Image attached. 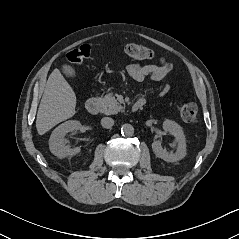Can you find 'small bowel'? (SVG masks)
I'll return each mask as SVG.
<instances>
[{
    "label": "small bowel",
    "instance_id": "small-bowel-1",
    "mask_svg": "<svg viewBox=\"0 0 239 239\" xmlns=\"http://www.w3.org/2000/svg\"><path fill=\"white\" fill-rule=\"evenodd\" d=\"M127 73L133 80L137 82H142L146 78H149L154 82H162L167 77L169 71L164 67H160L152 63L146 65L132 63L127 67ZM168 91L169 85L164 84L162 88L157 92V96L164 97L168 93ZM138 100H143L144 102H146L147 97L142 96Z\"/></svg>",
    "mask_w": 239,
    "mask_h": 239
}]
</instances>
